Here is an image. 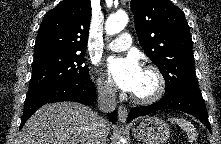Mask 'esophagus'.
<instances>
[{
	"mask_svg": "<svg viewBox=\"0 0 221 144\" xmlns=\"http://www.w3.org/2000/svg\"><path fill=\"white\" fill-rule=\"evenodd\" d=\"M127 116H128V110L126 107L124 106H119L118 107V117H119V120L124 123L127 119Z\"/></svg>",
	"mask_w": 221,
	"mask_h": 144,
	"instance_id": "esophagus-1",
	"label": "esophagus"
}]
</instances>
